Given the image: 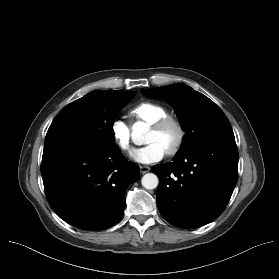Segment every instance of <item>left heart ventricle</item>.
I'll list each match as a JSON object with an SVG mask.
<instances>
[{
  "label": "left heart ventricle",
  "mask_w": 279,
  "mask_h": 279,
  "mask_svg": "<svg viewBox=\"0 0 279 279\" xmlns=\"http://www.w3.org/2000/svg\"><path fill=\"white\" fill-rule=\"evenodd\" d=\"M177 132L175 128L169 126L161 131H154L150 128L145 142L151 143L156 142L161 145L165 150L172 146L174 141L176 140Z\"/></svg>",
  "instance_id": "1"
}]
</instances>
